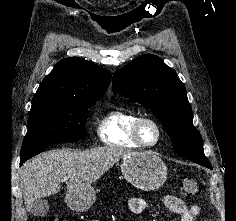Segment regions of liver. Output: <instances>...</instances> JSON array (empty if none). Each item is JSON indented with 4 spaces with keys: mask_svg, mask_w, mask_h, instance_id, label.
Returning <instances> with one entry per match:
<instances>
[{
    "mask_svg": "<svg viewBox=\"0 0 236 221\" xmlns=\"http://www.w3.org/2000/svg\"><path fill=\"white\" fill-rule=\"evenodd\" d=\"M130 153V150L115 146L90 150L56 149L41 153L24 163L19 171L27 211H31L36 199L57 194L62 181H66L68 191L91 187L120 158Z\"/></svg>",
    "mask_w": 236,
    "mask_h": 221,
    "instance_id": "1",
    "label": "liver"
}]
</instances>
